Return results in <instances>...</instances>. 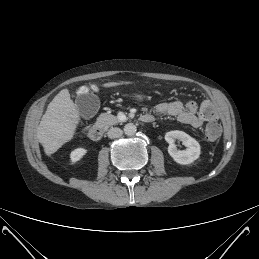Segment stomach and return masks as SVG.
Masks as SVG:
<instances>
[{
    "label": "stomach",
    "mask_w": 259,
    "mask_h": 259,
    "mask_svg": "<svg viewBox=\"0 0 259 259\" xmlns=\"http://www.w3.org/2000/svg\"><path fill=\"white\" fill-rule=\"evenodd\" d=\"M137 99H141V96L140 95H136L135 96Z\"/></svg>",
    "instance_id": "obj_1"
}]
</instances>
